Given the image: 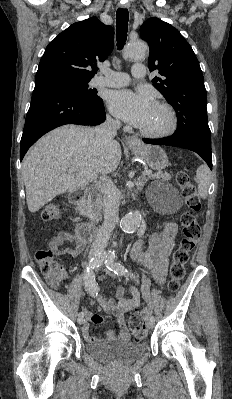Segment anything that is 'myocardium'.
Instances as JSON below:
<instances>
[{
	"label": "myocardium",
	"mask_w": 232,
	"mask_h": 399,
	"mask_svg": "<svg viewBox=\"0 0 232 399\" xmlns=\"http://www.w3.org/2000/svg\"><path fill=\"white\" fill-rule=\"evenodd\" d=\"M156 105H158L161 108L166 110L168 117H169V124L163 131L158 132V133H146V132L137 130V133L142 138L149 139V140L164 139V138H167L170 135H172L177 129L178 118H177V113H176L174 107L172 105H170L166 102H162V101H157Z\"/></svg>",
	"instance_id": "obj_1"
}]
</instances>
